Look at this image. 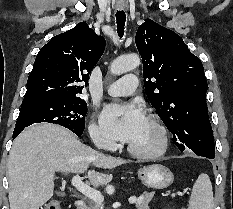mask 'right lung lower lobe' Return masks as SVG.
Instances as JSON below:
<instances>
[{
  "label": "right lung lower lobe",
  "mask_w": 233,
  "mask_h": 209,
  "mask_svg": "<svg viewBox=\"0 0 233 209\" xmlns=\"http://www.w3.org/2000/svg\"><path fill=\"white\" fill-rule=\"evenodd\" d=\"M22 130L14 131L13 132V139H15L21 132ZM78 137H80L82 134L75 133Z\"/></svg>",
  "instance_id": "1"
}]
</instances>
